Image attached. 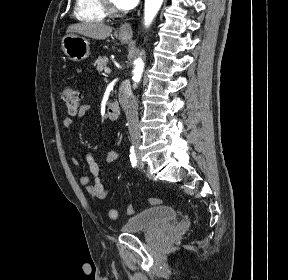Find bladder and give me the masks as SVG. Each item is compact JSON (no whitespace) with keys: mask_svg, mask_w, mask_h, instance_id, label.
Returning a JSON list of instances; mask_svg holds the SVG:
<instances>
[{"mask_svg":"<svg viewBox=\"0 0 288 280\" xmlns=\"http://www.w3.org/2000/svg\"><path fill=\"white\" fill-rule=\"evenodd\" d=\"M178 218V212L170 206L147 208L130 217L121 226L123 233L153 232L168 227Z\"/></svg>","mask_w":288,"mask_h":280,"instance_id":"31cf9c89","label":"bladder"}]
</instances>
